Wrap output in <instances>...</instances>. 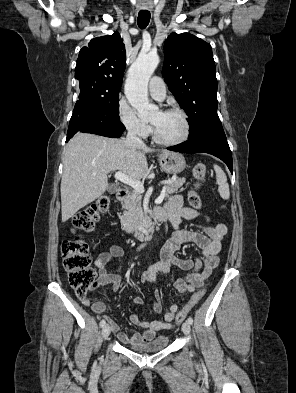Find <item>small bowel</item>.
Wrapping results in <instances>:
<instances>
[{
  "label": "small bowel",
  "instance_id": "c3829d8e",
  "mask_svg": "<svg viewBox=\"0 0 296 393\" xmlns=\"http://www.w3.org/2000/svg\"><path fill=\"white\" fill-rule=\"evenodd\" d=\"M163 210L172 223L175 231L161 249V260L155 263L148 270L141 273L143 283L154 284L156 282L157 273H170L173 267H178L188 271V274L175 280L174 287L180 293H191L203 285L212 271L218 266V253L222 247V241L227 233V227L223 223H215L204 228L203 233L182 229L179 227L182 220H193L198 217H204L210 221L209 217L199 210L185 207L181 196L172 197ZM185 243H193L201 250L203 260L181 259L176 256V252ZM125 251L120 245H111L105 251L99 254L95 260L98 269L99 278L97 285H111L112 290L117 292L121 288V277L116 273L107 271V264L113 259L123 257ZM85 306L91 307L92 311L97 314L104 313L109 310V305L105 301L92 302L88 296L80 297ZM133 302L138 305L144 303L141 297H135ZM152 309L157 313L163 312L162 296L158 291L154 293ZM178 311V305L173 303L169 306L168 311L164 313L163 320L145 321L137 315L130 317L131 322L145 331L134 333L128 336L122 332L118 324L109 316L105 319L113 333L117 335L120 341L131 346L141 345L155 338L156 333L162 329H170L173 327L172 321Z\"/></svg>",
  "mask_w": 296,
  "mask_h": 393
}]
</instances>
